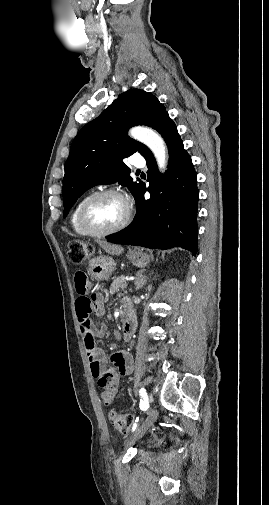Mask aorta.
<instances>
[{
    "label": "aorta",
    "instance_id": "1",
    "mask_svg": "<svg viewBox=\"0 0 269 505\" xmlns=\"http://www.w3.org/2000/svg\"><path fill=\"white\" fill-rule=\"evenodd\" d=\"M130 135L145 144L153 152L159 169L164 171L168 162L167 149L159 134L150 128L138 126L130 130Z\"/></svg>",
    "mask_w": 269,
    "mask_h": 505
}]
</instances>
